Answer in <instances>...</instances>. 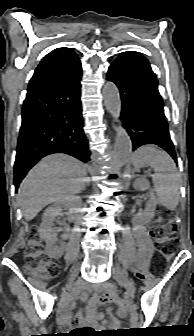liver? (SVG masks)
<instances>
[{
	"label": "liver",
	"instance_id": "liver-1",
	"mask_svg": "<svg viewBox=\"0 0 194 336\" xmlns=\"http://www.w3.org/2000/svg\"><path fill=\"white\" fill-rule=\"evenodd\" d=\"M86 166L66 154H52L40 160L18 190V204L27 221L48 204L79 194L86 186Z\"/></svg>",
	"mask_w": 194,
	"mask_h": 336
}]
</instances>
